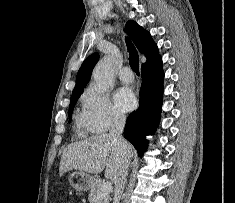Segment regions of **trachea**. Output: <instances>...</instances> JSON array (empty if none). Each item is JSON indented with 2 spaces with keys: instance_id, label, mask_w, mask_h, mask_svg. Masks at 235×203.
I'll use <instances>...</instances> for the list:
<instances>
[{
  "instance_id": "obj_1",
  "label": "trachea",
  "mask_w": 235,
  "mask_h": 203,
  "mask_svg": "<svg viewBox=\"0 0 235 203\" xmlns=\"http://www.w3.org/2000/svg\"><path fill=\"white\" fill-rule=\"evenodd\" d=\"M126 44H127L128 51L130 54L129 62H130L131 69L137 75H139V58H138L136 49L129 38H126Z\"/></svg>"
}]
</instances>
